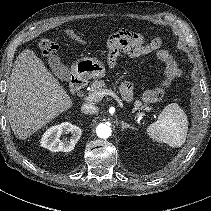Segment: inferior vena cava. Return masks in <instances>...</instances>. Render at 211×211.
Wrapping results in <instances>:
<instances>
[{
    "label": "inferior vena cava",
    "instance_id": "obj_1",
    "mask_svg": "<svg viewBox=\"0 0 211 211\" xmlns=\"http://www.w3.org/2000/svg\"><path fill=\"white\" fill-rule=\"evenodd\" d=\"M81 111L84 114H95L98 112V108L92 104H84L81 107Z\"/></svg>",
    "mask_w": 211,
    "mask_h": 211
}]
</instances>
